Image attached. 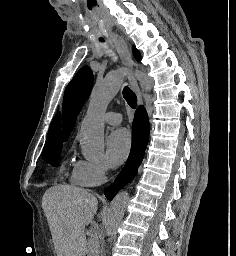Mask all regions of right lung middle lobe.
Segmentation results:
<instances>
[{
    "instance_id": "right-lung-middle-lobe-1",
    "label": "right lung middle lobe",
    "mask_w": 236,
    "mask_h": 256,
    "mask_svg": "<svg viewBox=\"0 0 236 256\" xmlns=\"http://www.w3.org/2000/svg\"><path fill=\"white\" fill-rule=\"evenodd\" d=\"M62 149V141L46 142L43 150L44 160L52 166L57 164L60 151Z\"/></svg>"
}]
</instances>
